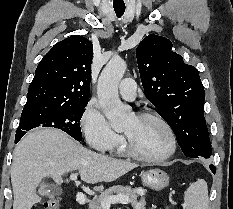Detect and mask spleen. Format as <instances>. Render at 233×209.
I'll return each mask as SVG.
<instances>
[{"label":"spleen","mask_w":233,"mask_h":209,"mask_svg":"<svg viewBox=\"0 0 233 209\" xmlns=\"http://www.w3.org/2000/svg\"><path fill=\"white\" fill-rule=\"evenodd\" d=\"M187 209H209L208 187L203 179L192 183L184 196Z\"/></svg>","instance_id":"spleen-1"}]
</instances>
